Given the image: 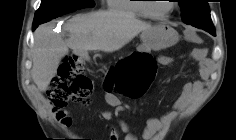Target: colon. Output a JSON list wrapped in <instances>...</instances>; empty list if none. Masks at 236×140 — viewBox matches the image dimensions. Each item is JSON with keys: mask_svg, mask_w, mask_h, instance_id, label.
Wrapping results in <instances>:
<instances>
[{"mask_svg": "<svg viewBox=\"0 0 236 140\" xmlns=\"http://www.w3.org/2000/svg\"><path fill=\"white\" fill-rule=\"evenodd\" d=\"M156 63L149 56L137 55L120 60L110 71V83L124 96L138 98L151 85L156 74ZM91 80L85 74L84 64L77 56L65 58L57 76L47 89L48 99L55 110L69 101L89 103Z\"/></svg>", "mask_w": 236, "mask_h": 140, "instance_id": "colon-1", "label": "colon"}]
</instances>
